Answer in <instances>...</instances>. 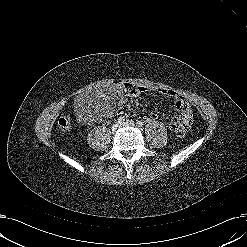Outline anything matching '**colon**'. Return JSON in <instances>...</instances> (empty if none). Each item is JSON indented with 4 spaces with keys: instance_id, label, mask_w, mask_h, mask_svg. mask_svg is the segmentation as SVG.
<instances>
[{
    "instance_id": "colon-1",
    "label": "colon",
    "mask_w": 247,
    "mask_h": 247,
    "mask_svg": "<svg viewBox=\"0 0 247 247\" xmlns=\"http://www.w3.org/2000/svg\"><path fill=\"white\" fill-rule=\"evenodd\" d=\"M57 126L61 133H67L70 129V117L67 115L61 116L57 121ZM186 129L187 127L185 126L176 128L175 130L176 137L182 138L185 134Z\"/></svg>"
}]
</instances>
